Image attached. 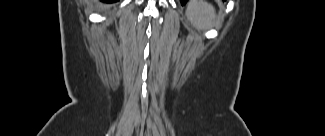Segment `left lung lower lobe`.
Segmentation results:
<instances>
[{
    "instance_id": "1",
    "label": "left lung lower lobe",
    "mask_w": 325,
    "mask_h": 136,
    "mask_svg": "<svg viewBox=\"0 0 325 136\" xmlns=\"http://www.w3.org/2000/svg\"><path fill=\"white\" fill-rule=\"evenodd\" d=\"M188 0H181V4L184 5Z\"/></svg>"
}]
</instances>
